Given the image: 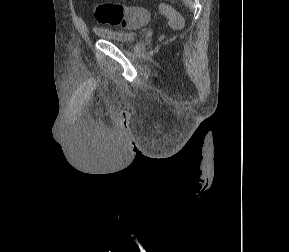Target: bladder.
Masks as SVG:
<instances>
[{
    "instance_id": "31cf9c89",
    "label": "bladder",
    "mask_w": 289,
    "mask_h": 252,
    "mask_svg": "<svg viewBox=\"0 0 289 252\" xmlns=\"http://www.w3.org/2000/svg\"><path fill=\"white\" fill-rule=\"evenodd\" d=\"M94 32L99 39L122 45H131L135 43L139 36V34L135 31H118L106 28H97Z\"/></svg>"
}]
</instances>
